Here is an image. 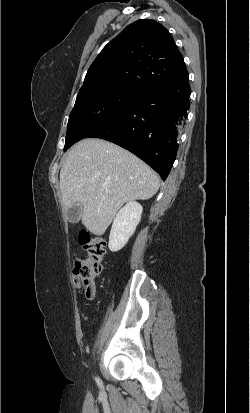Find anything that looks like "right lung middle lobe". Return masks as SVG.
Masks as SVG:
<instances>
[{"mask_svg":"<svg viewBox=\"0 0 250 413\" xmlns=\"http://www.w3.org/2000/svg\"><path fill=\"white\" fill-rule=\"evenodd\" d=\"M140 90L125 85H98L79 91L70 113L64 151L120 113Z\"/></svg>","mask_w":250,"mask_h":413,"instance_id":"dd1d6c3e","label":"right lung middle lobe"}]
</instances>
